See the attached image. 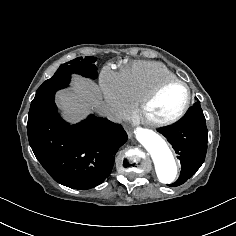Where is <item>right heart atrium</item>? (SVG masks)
Returning <instances> with one entry per match:
<instances>
[{"mask_svg":"<svg viewBox=\"0 0 236 236\" xmlns=\"http://www.w3.org/2000/svg\"><path fill=\"white\" fill-rule=\"evenodd\" d=\"M98 90L104 108V116L107 119L116 121L129 114L133 103L126 94L121 75L109 68H104L99 75Z\"/></svg>","mask_w":236,"mask_h":236,"instance_id":"obj_1","label":"right heart atrium"}]
</instances>
